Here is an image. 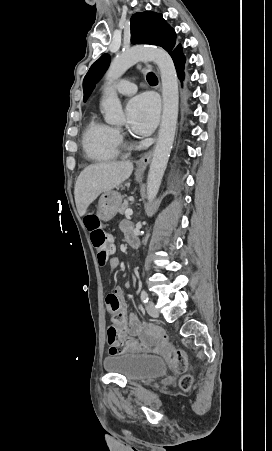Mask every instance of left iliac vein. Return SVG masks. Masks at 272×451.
Returning a JSON list of instances; mask_svg holds the SVG:
<instances>
[{
	"mask_svg": "<svg viewBox=\"0 0 272 451\" xmlns=\"http://www.w3.org/2000/svg\"><path fill=\"white\" fill-rule=\"evenodd\" d=\"M146 310H147V313L152 317H158V315H159V312L156 309L155 304L151 301L146 303Z\"/></svg>",
	"mask_w": 272,
	"mask_h": 451,
	"instance_id": "obj_1",
	"label": "left iliac vein"
}]
</instances>
